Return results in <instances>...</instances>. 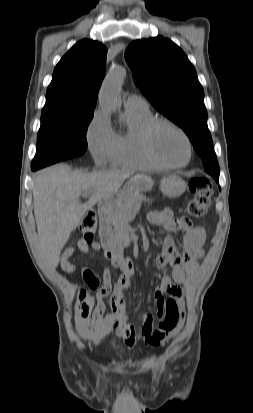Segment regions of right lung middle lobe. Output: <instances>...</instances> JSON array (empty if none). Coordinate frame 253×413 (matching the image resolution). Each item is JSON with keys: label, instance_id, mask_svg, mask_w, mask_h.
<instances>
[{"label": "right lung middle lobe", "instance_id": "1", "mask_svg": "<svg viewBox=\"0 0 253 413\" xmlns=\"http://www.w3.org/2000/svg\"><path fill=\"white\" fill-rule=\"evenodd\" d=\"M93 113L41 115L37 152L31 168L40 169L81 156L87 148L86 132Z\"/></svg>", "mask_w": 253, "mask_h": 413}]
</instances>
